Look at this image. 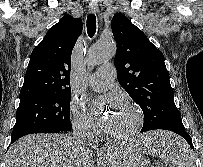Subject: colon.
<instances>
[{"label":"colon","mask_w":203,"mask_h":167,"mask_svg":"<svg viewBox=\"0 0 203 167\" xmlns=\"http://www.w3.org/2000/svg\"><path fill=\"white\" fill-rule=\"evenodd\" d=\"M158 167H172V166H170V165H168V164H165V163H161V164H159Z\"/></svg>","instance_id":"colon-1"}]
</instances>
